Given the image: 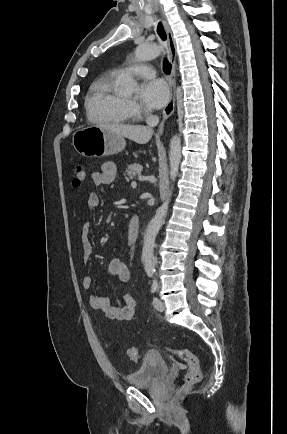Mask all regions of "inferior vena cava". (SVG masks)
<instances>
[{"label": "inferior vena cava", "instance_id": "obj_1", "mask_svg": "<svg viewBox=\"0 0 287 434\" xmlns=\"http://www.w3.org/2000/svg\"><path fill=\"white\" fill-rule=\"evenodd\" d=\"M146 123L150 127H154L159 123V117L157 115L147 114Z\"/></svg>", "mask_w": 287, "mask_h": 434}]
</instances>
